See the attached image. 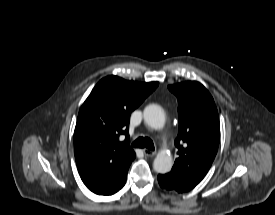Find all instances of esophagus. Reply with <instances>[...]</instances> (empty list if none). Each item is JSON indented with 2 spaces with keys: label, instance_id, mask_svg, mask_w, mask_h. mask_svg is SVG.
<instances>
[{
  "label": "esophagus",
  "instance_id": "obj_1",
  "mask_svg": "<svg viewBox=\"0 0 275 215\" xmlns=\"http://www.w3.org/2000/svg\"><path fill=\"white\" fill-rule=\"evenodd\" d=\"M143 153L145 156L152 157L156 155V151H151L149 149H143Z\"/></svg>",
  "mask_w": 275,
  "mask_h": 215
}]
</instances>
